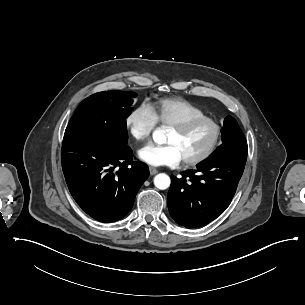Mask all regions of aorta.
Returning a JSON list of instances; mask_svg holds the SVG:
<instances>
[{"instance_id":"obj_1","label":"aorta","mask_w":305,"mask_h":305,"mask_svg":"<svg viewBox=\"0 0 305 305\" xmlns=\"http://www.w3.org/2000/svg\"><path fill=\"white\" fill-rule=\"evenodd\" d=\"M153 140L158 144L164 143V141H165L164 131L162 129H156L153 132ZM170 183H171L170 177L165 173L157 174L154 177V185L158 189L165 190V189L169 188Z\"/></svg>"}]
</instances>
